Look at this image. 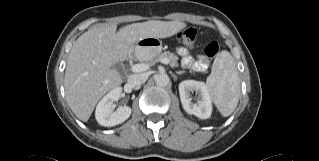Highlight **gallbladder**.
Masks as SVG:
<instances>
[{
    "label": "gallbladder",
    "instance_id": "bac80fb5",
    "mask_svg": "<svg viewBox=\"0 0 319 161\" xmlns=\"http://www.w3.org/2000/svg\"><path fill=\"white\" fill-rule=\"evenodd\" d=\"M113 67H114L116 70H118L119 72H120L121 69H122V66L119 65V64H116V65H114Z\"/></svg>",
    "mask_w": 319,
    "mask_h": 161
}]
</instances>
